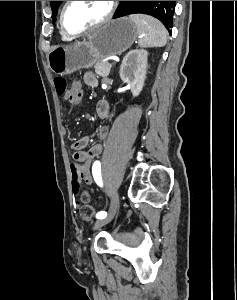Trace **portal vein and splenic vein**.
I'll return each mask as SVG.
<instances>
[{"label":"portal vein and splenic vein","mask_w":237,"mask_h":300,"mask_svg":"<svg viewBox=\"0 0 237 300\" xmlns=\"http://www.w3.org/2000/svg\"><path fill=\"white\" fill-rule=\"evenodd\" d=\"M110 63L108 62L107 65H105V68L109 69L111 68V65H109Z\"/></svg>","instance_id":"obj_1"}]
</instances>
